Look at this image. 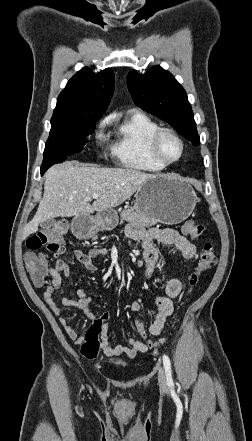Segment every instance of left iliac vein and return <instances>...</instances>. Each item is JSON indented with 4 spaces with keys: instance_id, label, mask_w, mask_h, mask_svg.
Wrapping results in <instances>:
<instances>
[{
    "instance_id": "4c4485c4",
    "label": "left iliac vein",
    "mask_w": 252,
    "mask_h": 441,
    "mask_svg": "<svg viewBox=\"0 0 252 441\" xmlns=\"http://www.w3.org/2000/svg\"><path fill=\"white\" fill-rule=\"evenodd\" d=\"M158 380L162 387H166L167 381H166V374L162 367L159 368L158 372Z\"/></svg>"
}]
</instances>
